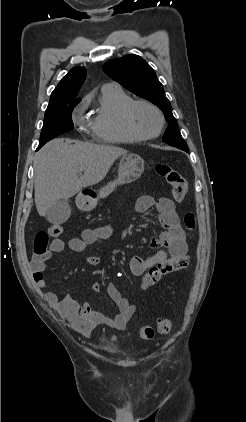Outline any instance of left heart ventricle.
<instances>
[{
	"label": "left heart ventricle",
	"instance_id": "1",
	"mask_svg": "<svg viewBox=\"0 0 246 422\" xmlns=\"http://www.w3.org/2000/svg\"><path fill=\"white\" fill-rule=\"evenodd\" d=\"M133 122L136 128L144 134L154 133L160 124L158 114L150 107L144 105L135 108Z\"/></svg>",
	"mask_w": 246,
	"mask_h": 422
}]
</instances>
